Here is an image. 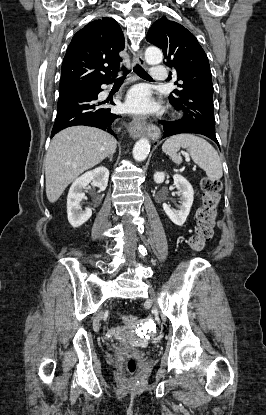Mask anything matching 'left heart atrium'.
<instances>
[{
  "instance_id": "1",
  "label": "left heart atrium",
  "mask_w": 266,
  "mask_h": 415,
  "mask_svg": "<svg viewBox=\"0 0 266 415\" xmlns=\"http://www.w3.org/2000/svg\"><path fill=\"white\" fill-rule=\"evenodd\" d=\"M126 108L136 113H149L156 109V104L146 86L134 87L128 94Z\"/></svg>"
}]
</instances>
